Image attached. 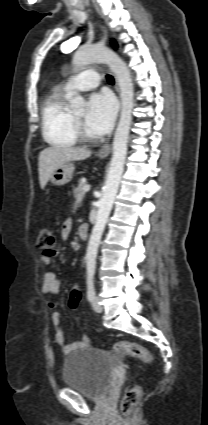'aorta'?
I'll return each mask as SVG.
<instances>
[{
	"label": "aorta",
	"instance_id": "obj_1",
	"mask_svg": "<svg viewBox=\"0 0 208 425\" xmlns=\"http://www.w3.org/2000/svg\"><path fill=\"white\" fill-rule=\"evenodd\" d=\"M72 62L76 70L94 62L106 63L115 74L121 98V113L114 134L112 159L103 188V195L99 201L95 225L87 246L86 274L87 279L90 280L93 279L95 274L98 247L124 170L134 106V84L126 63L115 52L106 47L97 45L82 47L75 52ZM70 104L73 109L81 110L85 105V100L81 95H76L71 99Z\"/></svg>",
	"mask_w": 208,
	"mask_h": 425
}]
</instances>
